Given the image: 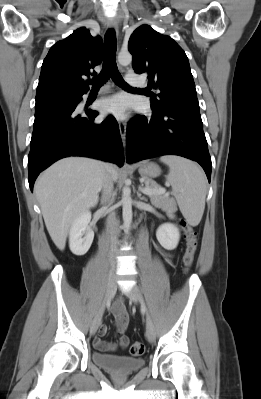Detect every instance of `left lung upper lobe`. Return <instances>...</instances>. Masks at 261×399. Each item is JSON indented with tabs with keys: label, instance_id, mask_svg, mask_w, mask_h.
Here are the masks:
<instances>
[{
	"label": "left lung upper lobe",
	"instance_id": "left-lung-upper-lobe-1",
	"mask_svg": "<svg viewBox=\"0 0 261 399\" xmlns=\"http://www.w3.org/2000/svg\"><path fill=\"white\" fill-rule=\"evenodd\" d=\"M128 49L133 55L136 73L148 74V88L158 89L152 96L154 112L168 111L180 105L199 107L188 58L183 49L169 36L149 25L137 28L130 37Z\"/></svg>",
	"mask_w": 261,
	"mask_h": 399
}]
</instances>
